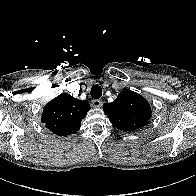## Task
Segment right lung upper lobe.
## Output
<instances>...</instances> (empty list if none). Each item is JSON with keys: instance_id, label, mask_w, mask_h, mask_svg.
I'll use <instances>...</instances> for the list:
<instances>
[{"instance_id": "obj_1", "label": "right lung upper lobe", "mask_w": 196, "mask_h": 196, "mask_svg": "<svg viewBox=\"0 0 196 196\" xmlns=\"http://www.w3.org/2000/svg\"><path fill=\"white\" fill-rule=\"evenodd\" d=\"M89 109L88 102L62 93L44 107L42 123L56 135L74 134L79 130L80 123Z\"/></svg>"}]
</instances>
